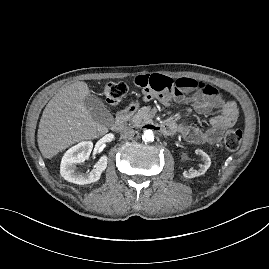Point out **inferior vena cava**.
I'll return each mask as SVG.
<instances>
[{
  "mask_svg": "<svg viewBox=\"0 0 269 269\" xmlns=\"http://www.w3.org/2000/svg\"><path fill=\"white\" fill-rule=\"evenodd\" d=\"M120 134L123 138L131 139L135 135V131L131 127H124L121 129Z\"/></svg>",
  "mask_w": 269,
  "mask_h": 269,
  "instance_id": "obj_1",
  "label": "inferior vena cava"
}]
</instances>
